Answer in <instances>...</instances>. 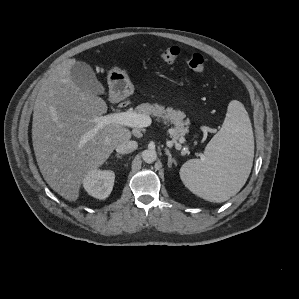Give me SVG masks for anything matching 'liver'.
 Masks as SVG:
<instances>
[{"mask_svg":"<svg viewBox=\"0 0 299 299\" xmlns=\"http://www.w3.org/2000/svg\"><path fill=\"white\" fill-rule=\"evenodd\" d=\"M76 62L58 64L43 82L34 105L32 141L36 161L47 184L68 201H76L86 174L100 167L119 143L131 138L129 129L110 124L82 146L79 142L107 112L105 101L79 88L70 77Z\"/></svg>","mask_w":299,"mask_h":299,"instance_id":"liver-1","label":"liver"}]
</instances>
